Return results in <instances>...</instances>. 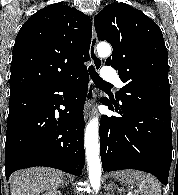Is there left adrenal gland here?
Instances as JSON below:
<instances>
[{
	"mask_svg": "<svg viewBox=\"0 0 178 195\" xmlns=\"http://www.w3.org/2000/svg\"><path fill=\"white\" fill-rule=\"evenodd\" d=\"M115 190L114 186L112 183H110L107 187V195H110V191L113 192Z\"/></svg>",
	"mask_w": 178,
	"mask_h": 195,
	"instance_id": "obj_1",
	"label": "left adrenal gland"
}]
</instances>
